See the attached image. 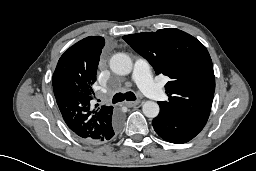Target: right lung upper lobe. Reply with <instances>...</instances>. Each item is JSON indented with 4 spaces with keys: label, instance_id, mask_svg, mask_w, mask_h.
Masks as SVG:
<instances>
[{
    "label": "right lung upper lobe",
    "instance_id": "cb5924a9",
    "mask_svg": "<svg viewBox=\"0 0 256 171\" xmlns=\"http://www.w3.org/2000/svg\"><path fill=\"white\" fill-rule=\"evenodd\" d=\"M103 37L89 36L71 46L58 61L53 91L67 126L84 141L102 139L116 114L112 106H93V84Z\"/></svg>",
    "mask_w": 256,
    "mask_h": 171
}]
</instances>
